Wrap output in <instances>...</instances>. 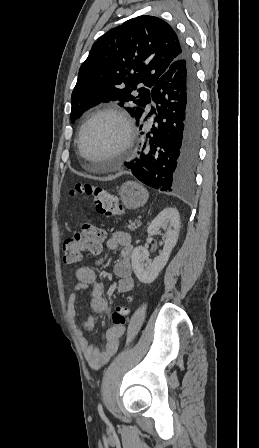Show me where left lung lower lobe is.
<instances>
[{
    "label": "left lung lower lobe",
    "mask_w": 259,
    "mask_h": 448,
    "mask_svg": "<svg viewBox=\"0 0 259 448\" xmlns=\"http://www.w3.org/2000/svg\"><path fill=\"white\" fill-rule=\"evenodd\" d=\"M183 44V42H182ZM156 107L137 115L140 128L153 118L139 157L125 166L144 184L180 192L193 184L201 138V108L194 65L183 44L182 56L159 78L150 93Z\"/></svg>",
    "instance_id": "obj_1"
}]
</instances>
